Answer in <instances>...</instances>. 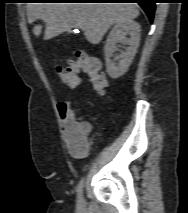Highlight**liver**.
I'll use <instances>...</instances> for the list:
<instances>
[{
  "mask_svg": "<svg viewBox=\"0 0 188 213\" xmlns=\"http://www.w3.org/2000/svg\"><path fill=\"white\" fill-rule=\"evenodd\" d=\"M139 15L136 3H29L28 22L42 20L45 23L44 40L65 31L80 27L86 39L98 44L115 23L132 20ZM42 31L41 25L33 28L35 36Z\"/></svg>",
  "mask_w": 188,
  "mask_h": 213,
  "instance_id": "1",
  "label": "liver"
}]
</instances>
